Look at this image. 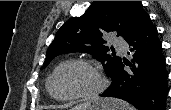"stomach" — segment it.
Returning a JSON list of instances; mask_svg holds the SVG:
<instances>
[{"label": "stomach", "instance_id": "0dacf381", "mask_svg": "<svg viewBox=\"0 0 171 110\" xmlns=\"http://www.w3.org/2000/svg\"><path fill=\"white\" fill-rule=\"evenodd\" d=\"M107 100H112V99H107ZM115 105L110 106L108 108L104 107L101 103V101L94 103L92 105H88V106H75L73 108H71L70 110H123L122 108L118 107V104L121 101H117L115 100Z\"/></svg>", "mask_w": 171, "mask_h": 110}]
</instances>
